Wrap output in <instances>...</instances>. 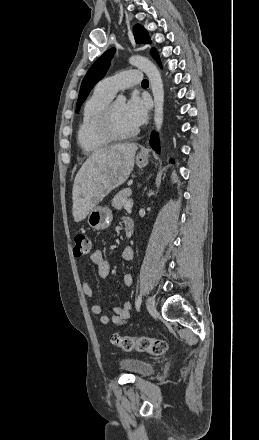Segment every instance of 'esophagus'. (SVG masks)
I'll use <instances>...</instances> for the list:
<instances>
[{"label":"esophagus","instance_id":"1","mask_svg":"<svg viewBox=\"0 0 259 440\" xmlns=\"http://www.w3.org/2000/svg\"><path fill=\"white\" fill-rule=\"evenodd\" d=\"M147 151L144 149L141 151L142 154H145Z\"/></svg>","mask_w":259,"mask_h":440}]
</instances>
